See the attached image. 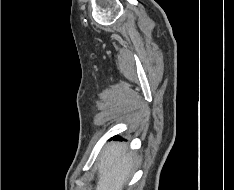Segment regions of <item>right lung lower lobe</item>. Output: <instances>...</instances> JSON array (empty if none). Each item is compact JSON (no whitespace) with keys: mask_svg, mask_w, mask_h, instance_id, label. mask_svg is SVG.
<instances>
[{"mask_svg":"<svg viewBox=\"0 0 234 190\" xmlns=\"http://www.w3.org/2000/svg\"><path fill=\"white\" fill-rule=\"evenodd\" d=\"M114 139H120L119 137H114Z\"/></svg>","mask_w":234,"mask_h":190,"instance_id":"1","label":"right lung lower lobe"}]
</instances>
